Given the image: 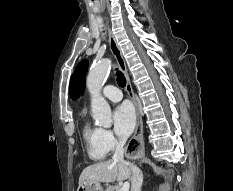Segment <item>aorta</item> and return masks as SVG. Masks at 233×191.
Wrapping results in <instances>:
<instances>
[{
	"mask_svg": "<svg viewBox=\"0 0 233 191\" xmlns=\"http://www.w3.org/2000/svg\"><path fill=\"white\" fill-rule=\"evenodd\" d=\"M109 71L110 61L105 59L91 68L86 80L91 95L92 117L97 125L105 128L111 127L112 114L109 104L100 95V91Z\"/></svg>",
	"mask_w": 233,
	"mask_h": 191,
	"instance_id": "obj_1",
	"label": "aorta"
}]
</instances>
